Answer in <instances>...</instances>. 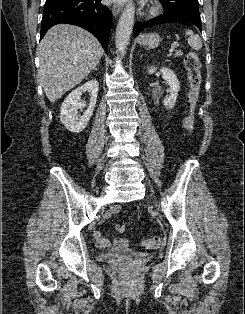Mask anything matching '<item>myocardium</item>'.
<instances>
[{"label":"myocardium","instance_id":"f54148a6","mask_svg":"<svg viewBox=\"0 0 245 314\" xmlns=\"http://www.w3.org/2000/svg\"><path fill=\"white\" fill-rule=\"evenodd\" d=\"M160 11V7L158 5H152L149 9V13L154 15Z\"/></svg>","mask_w":245,"mask_h":314}]
</instances>
